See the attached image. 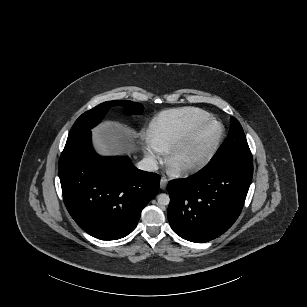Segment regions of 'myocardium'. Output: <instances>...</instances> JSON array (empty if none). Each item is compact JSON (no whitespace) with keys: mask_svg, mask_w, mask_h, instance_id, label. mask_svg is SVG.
Instances as JSON below:
<instances>
[{"mask_svg":"<svg viewBox=\"0 0 307 307\" xmlns=\"http://www.w3.org/2000/svg\"><path fill=\"white\" fill-rule=\"evenodd\" d=\"M221 124L223 127L222 134L216 139V141L210 146V148L196 161L187 163V164H179L182 156L191 150L204 134L215 124ZM226 136V126L222 121L219 120H211L204 126L200 127L197 131H195L189 138H187L182 143L175 146L168 154L167 157V166L172 175L182 177L187 176L189 174L195 173L205 166H207L216 156L217 152L220 149V146Z\"/></svg>","mask_w":307,"mask_h":307,"instance_id":"myocardium-1","label":"myocardium"}]
</instances>
